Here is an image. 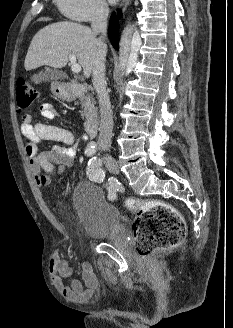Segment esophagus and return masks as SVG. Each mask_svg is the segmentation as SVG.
Returning <instances> with one entry per match:
<instances>
[{
  "mask_svg": "<svg viewBox=\"0 0 233 328\" xmlns=\"http://www.w3.org/2000/svg\"><path fill=\"white\" fill-rule=\"evenodd\" d=\"M130 2H131V0H123L122 1L121 8H122V11L123 12L127 9V7L129 6Z\"/></svg>",
  "mask_w": 233,
  "mask_h": 328,
  "instance_id": "obj_1",
  "label": "esophagus"
}]
</instances>
